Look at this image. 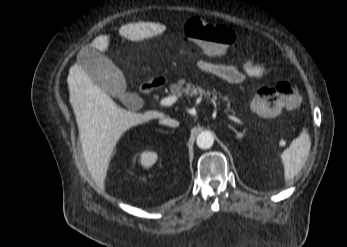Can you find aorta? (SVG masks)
Listing matches in <instances>:
<instances>
[{
    "label": "aorta",
    "mask_w": 347,
    "mask_h": 247,
    "mask_svg": "<svg viewBox=\"0 0 347 247\" xmlns=\"http://www.w3.org/2000/svg\"><path fill=\"white\" fill-rule=\"evenodd\" d=\"M197 146L201 149H209L214 143L213 134L209 131H203L197 136Z\"/></svg>",
    "instance_id": "762f6f07"
}]
</instances>
